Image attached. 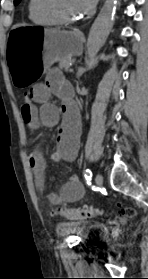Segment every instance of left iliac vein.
I'll return each instance as SVG.
<instances>
[{"label": "left iliac vein", "instance_id": "4c4485c4", "mask_svg": "<svg viewBox=\"0 0 148 279\" xmlns=\"http://www.w3.org/2000/svg\"><path fill=\"white\" fill-rule=\"evenodd\" d=\"M95 180H96V185L98 187H101L103 184V177L101 176V174L97 173L95 176Z\"/></svg>", "mask_w": 148, "mask_h": 279}]
</instances>
